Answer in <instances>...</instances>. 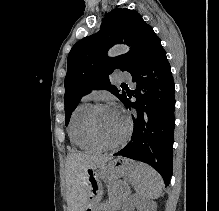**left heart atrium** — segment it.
<instances>
[{"instance_id": "obj_1", "label": "left heart atrium", "mask_w": 219, "mask_h": 211, "mask_svg": "<svg viewBox=\"0 0 219 211\" xmlns=\"http://www.w3.org/2000/svg\"><path fill=\"white\" fill-rule=\"evenodd\" d=\"M111 109L113 110V112H114L117 116L122 117V115H121V113H120V111L118 110L117 107H113V108H111Z\"/></svg>"}]
</instances>
